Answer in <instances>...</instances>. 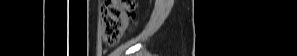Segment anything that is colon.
I'll return each instance as SVG.
<instances>
[{"mask_svg":"<svg viewBox=\"0 0 297 56\" xmlns=\"http://www.w3.org/2000/svg\"><path fill=\"white\" fill-rule=\"evenodd\" d=\"M101 17L104 43L109 46L116 45L135 17V1H104L101 6Z\"/></svg>","mask_w":297,"mask_h":56,"instance_id":"1","label":"colon"}]
</instances>
